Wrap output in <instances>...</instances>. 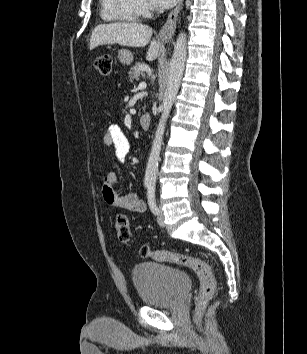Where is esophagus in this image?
<instances>
[{"instance_id":"esophagus-1","label":"esophagus","mask_w":307,"mask_h":354,"mask_svg":"<svg viewBox=\"0 0 307 354\" xmlns=\"http://www.w3.org/2000/svg\"><path fill=\"white\" fill-rule=\"evenodd\" d=\"M182 6H183V0H179L178 5L168 15L166 23L164 24V26L161 28L159 32V37L161 39L169 40L174 35L176 29L177 17L180 13V10L182 9Z\"/></svg>"}]
</instances>
